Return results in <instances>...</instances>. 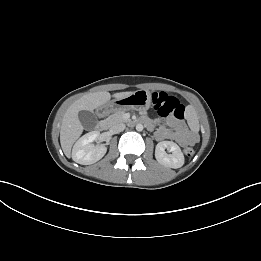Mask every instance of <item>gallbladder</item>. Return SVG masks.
<instances>
[{"label":"gallbladder","mask_w":261,"mask_h":261,"mask_svg":"<svg viewBox=\"0 0 261 261\" xmlns=\"http://www.w3.org/2000/svg\"><path fill=\"white\" fill-rule=\"evenodd\" d=\"M78 118L85 129L92 130L97 124V117L92 111L81 110L78 113Z\"/></svg>","instance_id":"gallbladder-1"}]
</instances>
